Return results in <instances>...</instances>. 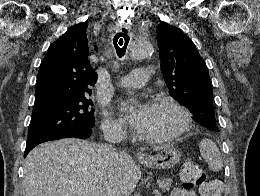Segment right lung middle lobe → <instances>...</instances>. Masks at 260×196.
I'll use <instances>...</instances> for the list:
<instances>
[{"mask_svg": "<svg viewBox=\"0 0 260 196\" xmlns=\"http://www.w3.org/2000/svg\"><path fill=\"white\" fill-rule=\"evenodd\" d=\"M89 93L61 95L35 105L28 130L26 147L57 140L65 135L92 129L95 124Z\"/></svg>", "mask_w": 260, "mask_h": 196, "instance_id": "obj_1", "label": "right lung middle lobe"}]
</instances>
